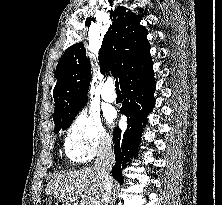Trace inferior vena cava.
Masks as SVG:
<instances>
[{"label":"inferior vena cava","instance_id":"1","mask_svg":"<svg viewBox=\"0 0 222 205\" xmlns=\"http://www.w3.org/2000/svg\"><path fill=\"white\" fill-rule=\"evenodd\" d=\"M115 156L112 150L111 141H106L100 155L95 161L94 169L97 172L103 186V195L101 203L108 205L111 197L112 181L110 179V171L114 165Z\"/></svg>","mask_w":222,"mask_h":205}]
</instances>
